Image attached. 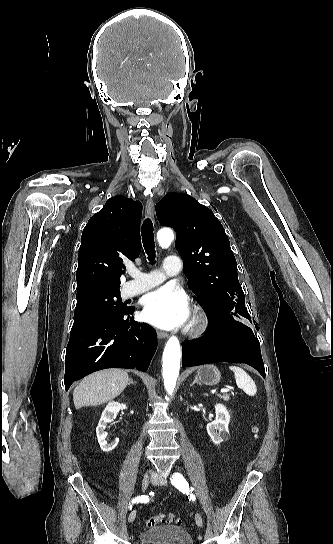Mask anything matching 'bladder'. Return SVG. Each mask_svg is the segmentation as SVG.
Returning <instances> with one entry per match:
<instances>
[{"mask_svg": "<svg viewBox=\"0 0 333 544\" xmlns=\"http://www.w3.org/2000/svg\"><path fill=\"white\" fill-rule=\"evenodd\" d=\"M139 544H194L190 533L183 527L163 525L141 533Z\"/></svg>", "mask_w": 333, "mask_h": 544, "instance_id": "bladder-1", "label": "bladder"}]
</instances>
